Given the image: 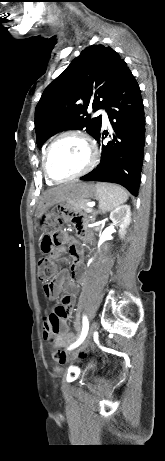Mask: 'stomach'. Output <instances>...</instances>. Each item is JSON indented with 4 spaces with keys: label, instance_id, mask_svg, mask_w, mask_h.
I'll return each mask as SVG.
<instances>
[{
    "label": "stomach",
    "instance_id": "stomach-1",
    "mask_svg": "<svg viewBox=\"0 0 165 461\" xmlns=\"http://www.w3.org/2000/svg\"><path fill=\"white\" fill-rule=\"evenodd\" d=\"M94 196H97V187L95 184L79 181L68 183L47 195L37 214L38 218L41 219L51 207L64 201L70 199H89Z\"/></svg>",
    "mask_w": 165,
    "mask_h": 461
}]
</instances>
